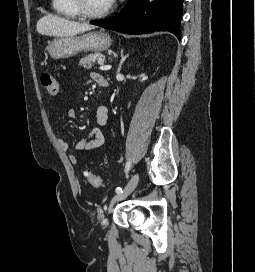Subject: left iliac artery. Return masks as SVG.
Here are the masks:
<instances>
[{"mask_svg": "<svg viewBox=\"0 0 255 272\" xmlns=\"http://www.w3.org/2000/svg\"><path fill=\"white\" fill-rule=\"evenodd\" d=\"M130 168H131V162L128 161L127 164H126V167H125V172L128 173ZM116 193H123L122 188L117 187L116 188Z\"/></svg>", "mask_w": 255, "mask_h": 272, "instance_id": "left-iliac-artery-1", "label": "left iliac artery"}]
</instances>
